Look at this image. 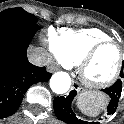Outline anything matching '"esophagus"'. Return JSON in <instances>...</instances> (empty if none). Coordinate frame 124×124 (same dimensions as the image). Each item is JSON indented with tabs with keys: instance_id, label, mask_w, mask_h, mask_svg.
I'll list each match as a JSON object with an SVG mask.
<instances>
[{
	"instance_id": "34e87169",
	"label": "esophagus",
	"mask_w": 124,
	"mask_h": 124,
	"mask_svg": "<svg viewBox=\"0 0 124 124\" xmlns=\"http://www.w3.org/2000/svg\"><path fill=\"white\" fill-rule=\"evenodd\" d=\"M48 68H49L51 71H56V70L58 69L55 65H50ZM71 89H72V90H75V91H77V92L80 91V87H79L76 83L73 84V86H72Z\"/></svg>"
}]
</instances>
